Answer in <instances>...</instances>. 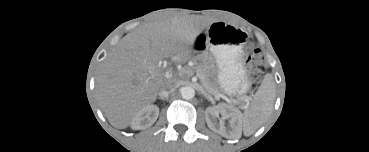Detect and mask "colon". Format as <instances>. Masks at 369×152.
Masks as SVG:
<instances>
[{
	"label": "colon",
	"mask_w": 369,
	"mask_h": 152,
	"mask_svg": "<svg viewBox=\"0 0 369 152\" xmlns=\"http://www.w3.org/2000/svg\"><path fill=\"white\" fill-rule=\"evenodd\" d=\"M247 65L249 68L250 78L253 82L259 81L263 74V55L260 49H255L247 58Z\"/></svg>",
	"instance_id": "obj_1"
}]
</instances>
